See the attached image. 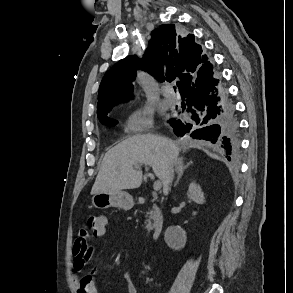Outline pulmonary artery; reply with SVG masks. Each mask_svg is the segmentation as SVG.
I'll return each instance as SVG.
<instances>
[{
	"mask_svg": "<svg viewBox=\"0 0 293 293\" xmlns=\"http://www.w3.org/2000/svg\"><path fill=\"white\" fill-rule=\"evenodd\" d=\"M164 93H165V96H166V101L171 104V105H175L178 103V98L177 96L174 94L173 90L171 87H166L164 89Z\"/></svg>",
	"mask_w": 293,
	"mask_h": 293,
	"instance_id": "obj_1",
	"label": "pulmonary artery"
}]
</instances>
